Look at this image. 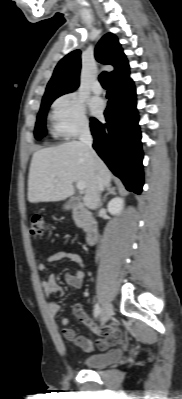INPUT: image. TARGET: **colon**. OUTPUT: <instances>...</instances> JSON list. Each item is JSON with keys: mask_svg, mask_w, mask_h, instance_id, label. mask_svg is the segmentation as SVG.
Listing matches in <instances>:
<instances>
[{"mask_svg": "<svg viewBox=\"0 0 182 399\" xmlns=\"http://www.w3.org/2000/svg\"><path fill=\"white\" fill-rule=\"evenodd\" d=\"M30 234L34 237H43L46 233V224L43 217L39 214H34L30 223Z\"/></svg>", "mask_w": 182, "mask_h": 399, "instance_id": "1", "label": "colon"}]
</instances>
